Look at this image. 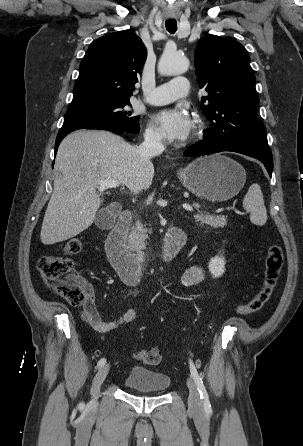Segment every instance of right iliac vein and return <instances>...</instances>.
Listing matches in <instances>:
<instances>
[{
    "label": "right iliac vein",
    "mask_w": 303,
    "mask_h": 446,
    "mask_svg": "<svg viewBox=\"0 0 303 446\" xmlns=\"http://www.w3.org/2000/svg\"><path fill=\"white\" fill-rule=\"evenodd\" d=\"M110 366L109 364H106L104 366H102L99 371L97 372L94 381H93V385L91 388V395H92V404L95 406L96 404V400L98 398L99 395V391H100V387L101 384L104 382L105 378L107 377V374L109 372Z\"/></svg>",
    "instance_id": "1"
}]
</instances>
